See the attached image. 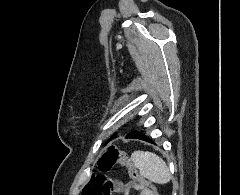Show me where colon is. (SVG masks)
Instances as JSON below:
<instances>
[{
    "instance_id": "obj_1",
    "label": "colon",
    "mask_w": 240,
    "mask_h": 195,
    "mask_svg": "<svg viewBox=\"0 0 240 195\" xmlns=\"http://www.w3.org/2000/svg\"><path fill=\"white\" fill-rule=\"evenodd\" d=\"M117 164L125 166L129 174L138 181L149 195H155L156 189L133 168L132 163L128 161L125 154H121L116 148H110L99 158V166L102 170H111ZM84 195H111L112 193L121 192V184L102 175H92L87 182Z\"/></svg>"
}]
</instances>
